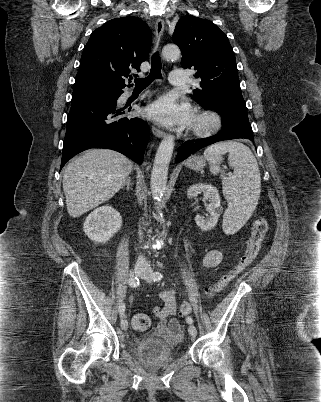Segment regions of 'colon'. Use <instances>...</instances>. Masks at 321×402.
Returning <instances> with one entry per match:
<instances>
[{"instance_id":"obj_1","label":"colon","mask_w":321,"mask_h":402,"mask_svg":"<svg viewBox=\"0 0 321 402\" xmlns=\"http://www.w3.org/2000/svg\"><path fill=\"white\" fill-rule=\"evenodd\" d=\"M268 233V222L265 218H259L254 226L250 238L247 241L246 248L239 261L218 281L210 286L206 295L215 297L223 291L240 273L246 270L259 256L262 243ZM192 311V304L184 301L179 308V315L185 317ZM132 325L138 331H145L150 325V320L147 315L138 313L132 318Z\"/></svg>"}]
</instances>
